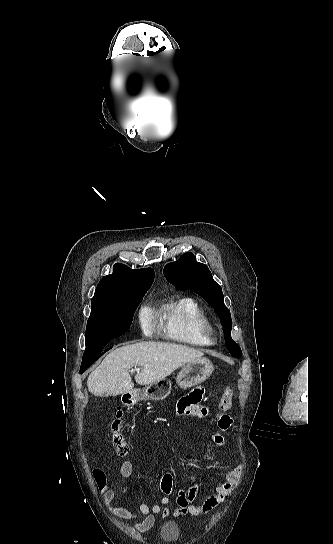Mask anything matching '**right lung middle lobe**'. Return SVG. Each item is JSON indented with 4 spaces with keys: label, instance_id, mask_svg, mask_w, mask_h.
Returning <instances> with one entry per match:
<instances>
[{
    "label": "right lung middle lobe",
    "instance_id": "dd1d6c3e",
    "mask_svg": "<svg viewBox=\"0 0 333 544\" xmlns=\"http://www.w3.org/2000/svg\"><path fill=\"white\" fill-rule=\"evenodd\" d=\"M146 292L91 303V314L86 327V349L81 367L96 361L103 355L102 351L111 339L129 330L134 312Z\"/></svg>",
    "mask_w": 333,
    "mask_h": 544
}]
</instances>
